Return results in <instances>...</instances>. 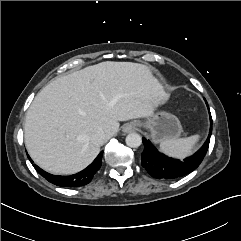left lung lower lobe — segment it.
Instances as JSON below:
<instances>
[{
  "mask_svg": "<svg viewBox=\"0 0 241 241\" xmlns=\"http://www.w3.org/2000/svg\"><path fill=\"white\" fill-rule=\"evenodd\" d=\"M211 132L212 118L209 135L204 145L194 155L183 160L170 158L158 152L150 141L143 138L142 166L152 177L157 179H176L185 176L194 171L205 157L209 147Z\"/></svg>",
  "mask_w": 241,
  "mask_h": 241,
  "instance_id": "1",
  "label": "left lung lower lobe"
}]
</instances>
